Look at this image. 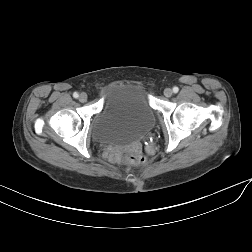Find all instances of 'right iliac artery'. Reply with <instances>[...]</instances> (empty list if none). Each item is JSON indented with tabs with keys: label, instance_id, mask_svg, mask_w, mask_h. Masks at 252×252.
<instances>
[{
	"label": "right iliac artery",
	"instance_id": "82829eb1",
	"mask_svg": "<svg viewBox=\"0 0 252 252\" xmlns=\"http://www.w3.org/2000/svg\"><path fill=\"white\" fill-rule=\"evenodd\" d=\"M73 97H74V98H78V97H79V94H78L77 92H74V93H73Z\"/></svg>",
	"mask_w": 252,
	"mask_h": 252
}]
</instances>
